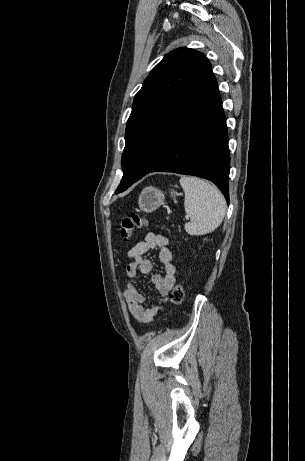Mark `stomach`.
I'll use <instances>...</instances> for the list:
<instances>
[{
    "label": "stomach",
    "instance_id": "0dacf381",
    "mask_svg": "<svg viewBox=\"0 0 305 461\" xmlns=\"http://www.w3.org/2000/svg\"><path fill=\"white\" fill-rule=\"evenodd\" d=\"M178 193L174 190L171 191V196H176ZM165 200V196L159 189L149 186L143 189L141 192L138 205L139 208L147 213H151L159 208Z\"/></svg>",
    "mask_w": 305,
    "mask_h": 461
}]
</instances>
